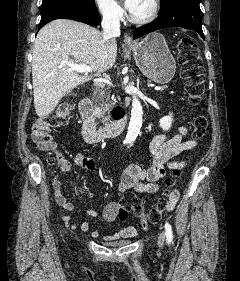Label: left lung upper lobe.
Returning <instances> with one entry per match:
<instances>
[{
  "label": "left lung upper lobe",
  "instance_id": "1",
  "mask_svg": "<svg viewBox=\"0 0 240 281\" xmlns=\"http://www.w3.org/2000/svg\"><path fill=\"white\" fill-rule=\"evenodd\" d=\"M170 0H160L161 7L168 3Z\"/></svg>",
  "mask_w": 240,
  "mask_h": 281
}]
</instances>
